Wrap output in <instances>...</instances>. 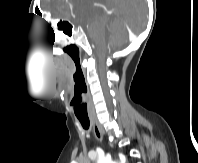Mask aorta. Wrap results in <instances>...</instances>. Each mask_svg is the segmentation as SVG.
Here are the masks:
<instances>
[{"label": "aorta", "instance_id": "aorta-1", "mask_svg": "<svg viewBox=\"0 0 198 163\" xmlns=\"http://www.w3.org/2000/svg\"><path fill=\"white\" fill-rule=\"evenodd\" d=\"M97 163H113L111 160H108L106 157L104 156H100L97 160Z\"/></svg>", "mask_w": 198, "mask_h": 163}]
</instances>
